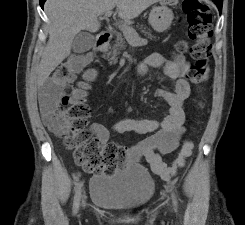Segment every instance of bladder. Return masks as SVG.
Returning a JSON list of instances; mask_svg holds the SVG:
<instances>
[{
	"label": "bladder",
	"mask_w": 245,
	"mask_h": 225,
	"mask_svg": "<svg viewBox=\"0 0 245 225\" xmlns=\"http://www.w3.org/2000/svg\"><path fill=\"white\" fill-rule=\"evenodd\" d=\"M155 183L150 173L136 163H123L116 172L98 173L90 179V197L94 207L135 211L153 197Z\"/></svg>",
	"instance_id": "bladder-1"
}]
</instances>
